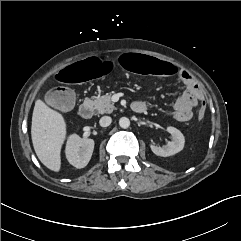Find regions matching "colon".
Instances as JSON below:
<instances>
[{
    "instance_id": "5ec220e1",
    "label": "colon",
    "mask_w": 241,
    "mask_h": 241,
    "mask_svg": "<svg viewBox=\"0 0 241 241\" xmlns=\"http://www.w3.org/2000/svg\"><path fill=\"white\" fill-rule=\"evenodd\" d=\"M123 69L133 73H151L157 76L177 77L180 69L167 58L158 56H143L132 52H125L120 57ZM115 63L108 58L93 57L73 65L64 66L59 72V79L64 84L74 86L85 82L99 81L111 76L115 72ZM48 101L55 107L66 110L74 102V95L67 88H57L48 94ZM205 116V105L198 112V118Z\"/></svg>"
}]
</instances>
